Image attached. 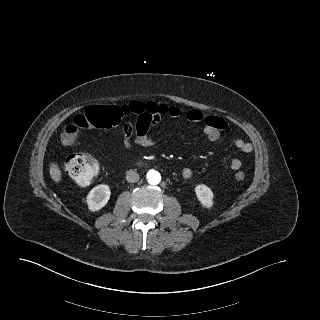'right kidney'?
I'll list each match as a JSON object with an SVG mask.
<instances>
[{"label": "right kidney", "mask_w": 320, "mask_h": 320, "mask_svg": "<svg viewBox=\"0 0 320 320\" xmlns=\"http://www.w3.org/2000/svg\"><path fill=\"white\" fill-rule=\"evenodd\" d=\"M111 190L108 185L101 184L94 187L87 195V206L92 212L99 211L109 201Z\"/></svg>", "instance_id": "obj_1"}]
</instances>
